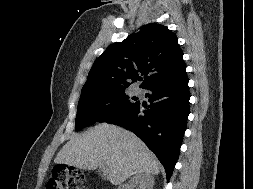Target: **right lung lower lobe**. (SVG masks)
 Returning <instances> with one entry per match:
<instances>
[{"mask_svg": "<svg viewBox=\"0 0 253 189\" xmlns=\"http://www.w3.org/2000/svg\"><path fill=\"white\" fill-rule=\"evenodd\" d=\"M151 104L138 102L132 109L117 115L107 123L126 127L154 152L163 164L167 182L179 157L189 115L188 77L159 83L147 88Z\"/></svg>", "mask_w": 253, "mask_h": 189, "instance_id": "obj_1", "label": "right lung lower lobe"}]
</instances>
